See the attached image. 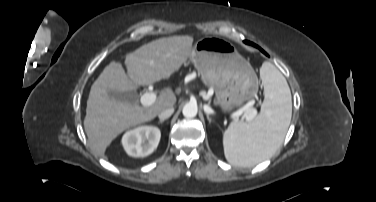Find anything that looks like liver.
Here are the masks:
<instances>
[{"label": "liver", "mask_w": 376, "mask_h": 202, "mask_svg": "<svg viewBox=\"0 0 376 202\" xmlns=\"http://www.w3.org/2000/svg\"><path fill=\"white\" fill-rule=\"evenodd\" d=\"M193 37L159 38L126 55L127 73L119 62L107 65L93 83L87 100L84 128L93 151L105 157L106 148L124 130L154 119L161 111L173 107L176 96L164 88L150 106L116 101L108 90L135 91L139 86L168 79L186 63Z\"/></svg>", "instance_id": "liver-1"}]
</instances>
